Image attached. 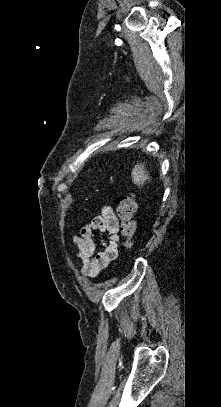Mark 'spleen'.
<instances>
[{
	"label": "spleen",
	"instance_id": "1",
	"mask_svg": "<svg viewBox=\"0 0 221 407\" xmlns=\"http://www.w3.org/2000/svg\"><path fill=\"white\" fill-rule=\"evenodd\" d=\"M132 180L137 186H143L146 181H150V177L147 171L144 169V165L137 164L132 170Z\"/></svg>",
	"mask_w": 221,
	"mask_h": 407
}]
</instances>
